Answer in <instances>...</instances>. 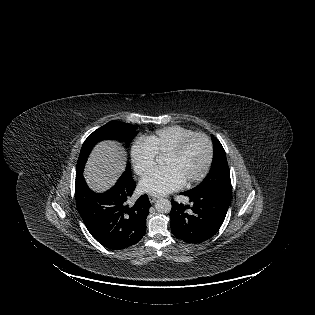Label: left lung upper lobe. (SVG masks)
Listing matches in <instances>:
<instances>
[{"label":"left lung upper lobe","mask_w":315,"mask_h":315,"mask_svg":"<svg viewBox=\"0 0 315 315\" xmlns=\"http://www.w3.org/2000/svg\"><path fill=\"white\" fill-rule=\"evenodd\" d=\"M214 151L210 172L196 189H211L219 193L231 194L230 170L221 143L212 136Z\"/></svg>","instance_id":"left-lung-upper-lobe-1"}]
</instances>
